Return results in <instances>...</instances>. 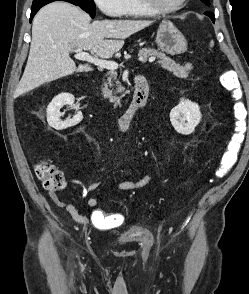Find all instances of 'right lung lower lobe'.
<instances>
[{
    "instance_id": "1",
    "label": "right lung lower lobe",
    "mask_w": 249,
    "mask_h": 294,
    "mask_svg": "<svg viewBox=\"0 0 249 294\" xmlns=\"http://www.w3.org/2000/svg\"><path fill=\"white\" fill-rule=\"evenodd\" d=\"M42 6H38V7H33L31 9V16H30V22L32 21L34 15L37 13V11L41 8Z\"/></svg>"
}]
</instances>
